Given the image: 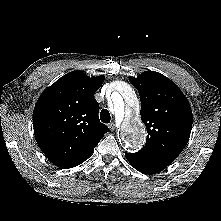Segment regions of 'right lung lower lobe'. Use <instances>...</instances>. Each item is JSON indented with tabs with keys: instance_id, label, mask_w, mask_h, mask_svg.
<instances>
[{
	"instance_id": "obj_1",
	"label": "right lung lower lobe",
	"mask_w": 221,
	"mask_h": 221,
	"mask_svg": "<svg viewBox=\"0 0 221 221\" xmlns=\"http://www.w3.org/2000/svg\"><path fill=\"white\" fill-rule=\"evenodd\" d=\"M84 161H85V160H84ZM84 161H83V162H84ZM81 163H82V162H81ZM81 163H79V164H81ZM79 164H77V165H79ZM77 165H76V166H77Z\"/></svg>"
}]
</instances>
